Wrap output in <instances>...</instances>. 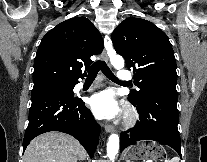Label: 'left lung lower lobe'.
Segmentation results:
<instances>
[{
    "label": "left lung lower lobe",
    "mask_w": 207,
    "mask_h": 162,
    "mask_svg": "<svg viewBox=\"0 0 207 162\" xmlns=\"http://www.w3.org/2000/svg\"><path fill=\"white\" fill-rule=\"evenodd\" d=\"M131 103L137 107L140 121L135 128L121 133L120 151L137 141L153 140L169 145L181 157L177 95L151 94L142 102Z\"/></svg>",
    "instance_id": "left-lung-lower-lobe-1"
}]
</instances>
